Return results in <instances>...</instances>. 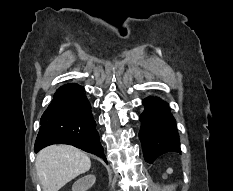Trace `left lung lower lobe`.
<instances>
[{
  "label": "left lung lower lobe",
  "mask_w": 233,
  "mask_h": 191,
  "mask_svg": "<svg viewBox=\"0 0 233 191\" xmlns=\"http://www.w3.org/2000/svg\"><path fill=\"white\" fill-rule=\"evenodd\" d=\"M144 112L139 137L145 161L153 163L158 157L171 152H181L175 119L166 102L158 97L143 100Z\"/></svg>",
  "instance_id": "left-lung-lower-lobe-1"
}]
</instances>
